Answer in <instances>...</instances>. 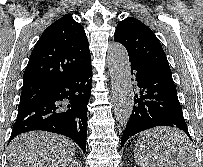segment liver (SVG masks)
Here are the masks:
<instances>
[{
	"mask_svg": "<svg viewBox=\"0 0 203 167\" xmlns=\"http://www.w3.org/2000/svg\"><path fill=\"white\" fill-rule=\"evenodd\" d=\"M184 135L177 129L158 127L141 134L150 151L156 150L166 167H186L183 156L174 149ZM153 155L155 153H152ZM75 155L73 142L63 136L31 131L15 137L9 144L6 167H68Z\"/></svg>",
	"mask_w": 203,
	"mask_h": 167,
	"instance_id": "1",
	"label": "liver"
}]
</instances>
